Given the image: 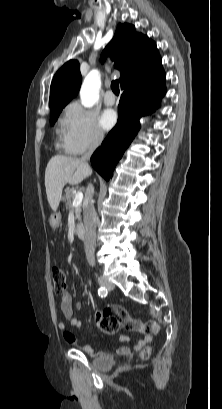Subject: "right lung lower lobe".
I'll return each instance as SVG.
<instances>
[{
    "label": "right lung lower lobe",
    "mask_w": 222,
    "mask_h": 409,
    "mask_svg": "<svg viewBox=\"0 0 222 409\" xmlns=\"http://www.w3.org/2000/svg\"><path fill=\"white\" fill-rule=\"evenodd\" d=\"M124 90L119 106L115 127L91 157L93 168L104 179L109 180L114 168L137 134L139 118L159 106L166 92L163 69L133 79L121 87Z\"/></svg>",
    "instance_id": "right-lung-lower-lobe-1"
}]
</instances>
